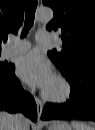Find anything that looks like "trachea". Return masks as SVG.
<instances>
[{
    "label": "trachea",
    "instance_id": "1",
    "mask_svg": "<svg viewBox=\"0 0 95 130\" xmlns=\"http://www.w3.org/2000/svg\"><path fill=\"white\" fill-rule=\"evenodd\" d=\"M38 5V0H28L25 11V24L21 34V37L24 38L29 32L30 28L34 23V15Z\"/></svg>",
    "mask_w": 95,
    "mask_h": 130
}]
</instances>
